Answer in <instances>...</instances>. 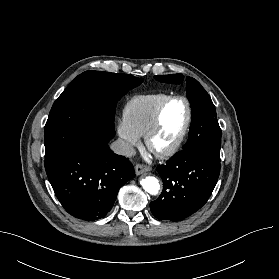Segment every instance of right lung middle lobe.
<instances>
[{
    "label": "right lung middle lobe",
    "mask_w": 279,
    "mask_h": 279,
    "mask_svg": "<svg viewBox=\"0 0 279 279\" xmlns=\"http://www.w3.org/2000/svg\"><path fill=\"white\" fill-rule=\"evenodd\" d=\"M141 83L130 74L86 71L78 75L54 102L45 125L46 173L81 142L89 125L114 130L117 101Z\"/></svg>",
    "instance_id": "obj_1"
}]
</instances>
